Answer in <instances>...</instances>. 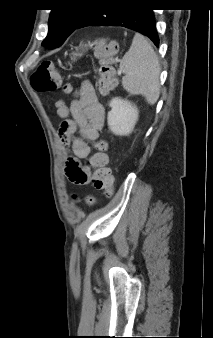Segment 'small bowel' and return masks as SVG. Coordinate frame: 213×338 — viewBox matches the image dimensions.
Wrapping results in <instances>:
<instances>
[{"label": "small bowel", "instance_id": "obj_1", "mask_svg": "<svg viewBox=\"0 0 213 338\" xmlns=\"http://www.w3.org/2000/svg\"><path fill=\"white\" fill-rule=\"evenodd\" d=\"M55 107L61 118L70 117V122L73 123L70 129L61 126L59 133L62 144L71 147L73 156L69 160L78 161L88 158L91 153L90 142L98 138V130L102 125L105 112L104 107L97 100L94 88L90 83H84L78 98L73 100L69 107L61 99L57 101ZM76 131L79 137L75 136ZM71 181L88 184L89 172L84 170L77 173L75 179Z\"/></svg>", "mask_w": 213, "mask_h": 338}]
</instances>
